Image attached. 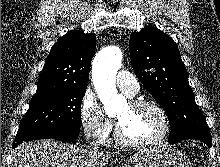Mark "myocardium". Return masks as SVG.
Masks as SVG:
<instances>
[{
    "instance_id": "f54148a6",
    "label": "myocardium",
    "mask_w": 220,
    "mask_h": 167,
    "mask_svg": "<svg viewBox=\"0 0 220 167\" xmlns=\"http://www.w3.org/2000/svg\"><path fill=\"white\" fill-rule=\"evenodd\" d=\"M129 105L132 108L151 107V108L155 109L161 117L162 130L156 137H154L152 139L142 140V141H134V140L128 139L123 134L119 124H117L116 130H115L116 141L120 145L125 146V147H130V148L152 147V146H156V145H159L160 143H162L166 139V137L168 136L169 131H170V119H169V116H168L166 110L164 109V107L156 101L144 100V99L133 100L130 102Z\"/></svg>"
}]
</instances>
